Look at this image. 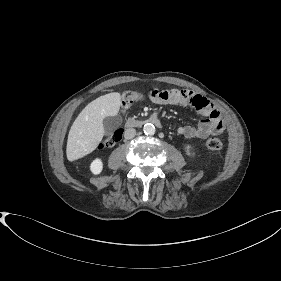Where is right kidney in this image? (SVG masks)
Returning a JSON list of instances; mask_svg holds the SVG:
<instances>
[{
    "mask_svg": "<svg viewBox=\"0 0 281 281\" xmlns=\"http://www.w3.org/2000/svg\"><path fill=\"white\" fill-rule=\"evenodd\" d=\"M102 169H103V162L100 158H96L91 162L90 170L94 175L100 174Z\"/></svg>",
    "mask_w": 281,
    "mask_h": 281,
    "instance_id": "1",
    "label": "right kidney"
}]
</instances>
